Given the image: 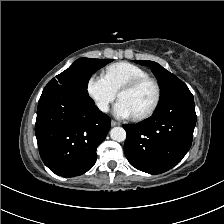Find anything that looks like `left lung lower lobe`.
<instances>
[{
    "instance_id": "0a47b994",
    "label": "left lung lower lobe",
    "mask_w": 224,
    "mask_h": 224,
    "mask_svg": "<svg viewBox=\"0 0 224 224\" xmlns=\"http://www.w3.org/2000/svg\"><path fill=\"white\" fill-rule=\"evenodd\" d=\"M196 124L192 93L178 95L156 108L146 120L123 125L127 138L125 156L138 170L150 174L168 171L191 147Z\"/></svg>"
}]
</instances>
